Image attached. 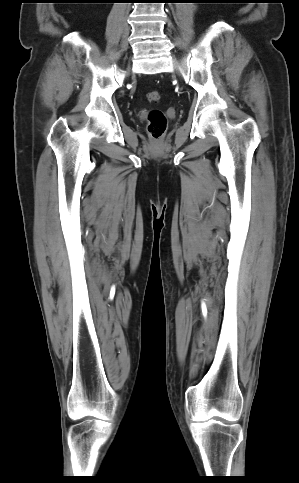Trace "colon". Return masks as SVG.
I'll return each mask as SVG.
<instances>
[{"mask_svg":"<svg viewBox=\"0 0 299 483\" xmlns=\"http://www.w3.org/2000/svg\"><path fill=\"white\" fill-rule=\"evenodd\" d=\"M161 95L158 91H151L147 94L149 102L156 103L160 100ZM167 127V120L162 111L154 109L148 115L147 130L153 139H160Z\"/></svg>","mask_w":299,"mask_h":483,"instance_id":"1","label":"colon"}]
</instances>
